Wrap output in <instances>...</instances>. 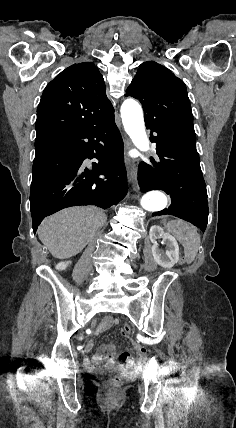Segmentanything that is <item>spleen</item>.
Wrapping results in <instances>:
<instances>
[{
	"label": "spleen",
	"instance_id": "spleen-1",
	"mask_svg": "<svg viewBox=\"0 0 236 428\" xmlns=\"http://www.w3.org/2000/svg\"><path fill=\"white\" fill-rule=\"evenodd\" d=\"M167 230L182 244L185 260L187 264H191L195 260L200 246V236L197 234L196 228L183 220H171L167 224Z\"/></svg>",
	"mask_w": 236,
	"mask_h": 428
}]
</instances>
